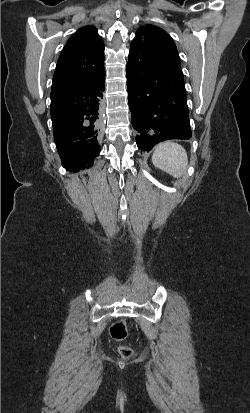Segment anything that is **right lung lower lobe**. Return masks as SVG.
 <instances>
[{
  "label": "right lung lower lobe",
  "mask_w": 250,
  "mask_h": 413,
  "mask_svg": "<svg viewBox=\"0 0 250 413\" xmlns=\"http://www.w3.org/2000/svg\"><path fill=\"white\" fill-rule=\"evenodd\" d=\"M105 70L93 80L51 91L54 140L62 165L76 172L92 166L100 153V102Z\"/></svg>",
  "instance_id": "1"
}]
</instances>
